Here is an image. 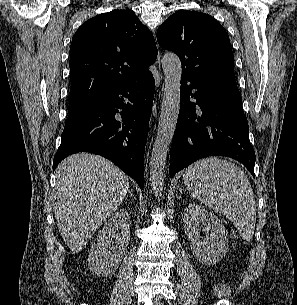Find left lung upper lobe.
Returning a JSON list of instances; mask_svg holds the SVG:
<instances>
[{"label": "left lung upper lobe", "mask_w": 297, "mask_h": 305, "mask_svg": "<svg viewBox=\"0 0 297 305\" xmlns=\"http://www.w3.org/2000/svg\"><path fill=\"white\" fill-rule=\"evenodd\" d=\"M157 40L178 55L182 74L197 81L235 79L228 34L210 15L180 10L159 27Z\"/></svg>", "instance_id": "1"}]
</instances>
